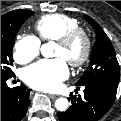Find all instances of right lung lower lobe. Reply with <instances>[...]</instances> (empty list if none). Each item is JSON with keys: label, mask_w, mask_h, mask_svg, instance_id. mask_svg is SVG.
Segmentation results:
<instances>
[{"label": "right lung lower lobe", "mask_w": 121, "mask_h": 121, "mask_svg": "<svg viewBox=\"0 0 121 121\" xmlns=\"http://www.w3.org/2000/svg\"><path fill=\"white\" fill-rule=\"evenodd\" d=\"M12 76H1V121L21 120L30 104V90L21 84L20 87H7V80Z\"/></svg>", "instance_id": "obj_1"}]
</instances>
